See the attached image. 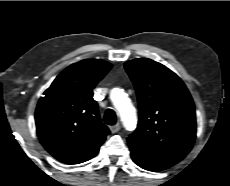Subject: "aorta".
<instances>
[{
  "mask_svg": "<svg viewBox=\"0 0 230 186\" xmlns=\"http://www.w3.org/2000/svg\"><path fill=\"white\" fill-rule=\"evenodd\" d=\"M110 99L119 113L123 126L127 130H133L136 127V113L130 99L122 89L113 88L110 92Z\"/></svg>",
  "mask_w": 230,
  "mask_h": 186,
  "instance_id": "1",
  "label": "aorta"
}]
</instances>
